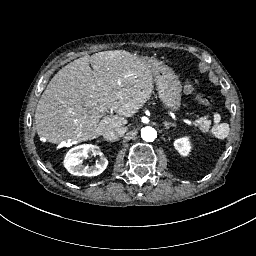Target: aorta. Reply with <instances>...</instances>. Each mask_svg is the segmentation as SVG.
I'll return each instance as SVG.
<instances>
[{
    "label": "aorta",
    "instance_id": "obj_1",
    "mask_svg": "<svg viewBox=\"0 0 256 256\" xmlns=\"http://www.w3.org/2000/svg\"><path fill=\"white\" fill-rule=\"evenodd\" d=\"M141 137L146 142H153L157 138V132L153 127H145L141 130Z\"/></svg>",
    "mask_w": 256,
    "mask_h": 256
}]
</instances>
